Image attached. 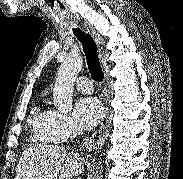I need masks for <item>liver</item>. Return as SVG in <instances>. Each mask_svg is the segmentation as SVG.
<instances>
[{
    "mask_svg": "<svg viewBox=\"0 0 183 179\" xmlns=\"http://www.w3.org/2000/svg\"><path fill=\"white\" fill-rule=\"evenodd\" d=\"M82 171L77 154L57 145H35L20 156L15 179H72Z\"/></svg>",
    "mask_w": 183,
    "mask_h": 179,
    "instance_id": "6515ba94",
    "label": "liver"
}]
</instances>
